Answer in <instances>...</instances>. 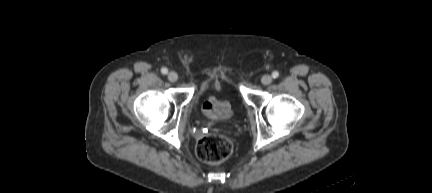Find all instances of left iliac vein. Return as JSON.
I'll use <instances>...</instances> for the list:
<instances>
[{"instance_id":"1","label":"left iliac vein","mask_w":432,"mask_h":193,"mask_svg":"<svg viewBox=\"0 0 432 193\" xmlns=\"http://www.w3.org/2000/svg\"><path fill=\"white\" fill-rule=\"evenodd\" d=\"M272 81H273L272 76H271V75H268V74L262 76V78H261V82H262V84H264V85H269V84L272 83Z\"/></svg>"}]
</instances>
